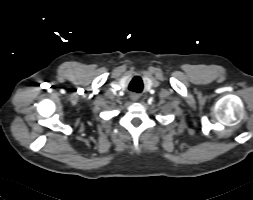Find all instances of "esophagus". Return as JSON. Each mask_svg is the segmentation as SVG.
I'll list each match as a JSON object with an SVG mask.
<instances>
[{
  "instance_id": "esophagus-1",
  "label": "esophagus",
  "mask_w": 253,
  "mask_h": 200,
  "mask_svg": "<svg viewBox=\"0 0 253 200\" xmlns=\"http://www.w3.org/2000/svg\"><path fill=\"white\" fill-rule=\"evenodd\" d=\"M132 99H133V100H136V99H137V96H136V95H133V96H132Z\"/></svg>"
}]
</instances>
